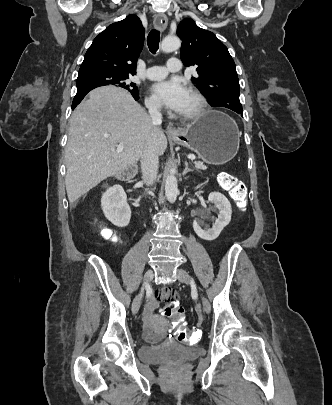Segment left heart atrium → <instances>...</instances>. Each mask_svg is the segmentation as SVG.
Masks as SVG:
<instances>
[{"label": "left heart atrium", "mask_w": 332, "mask_h": 405, "mask_svg": "<svg viewBox=\"0 0 332 405\" xmlns=\"http://www.w3.org/2000/svg\"><path fill=\"white\" fill-rule=\"evenodd\" d=\"M151 90L159 102L176 112L182 108L188 92L179 79L157 82Z\"/></svg>", "instance_id": "left-heart-atrium-1"}]
</instances>
